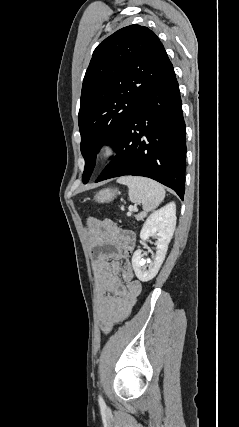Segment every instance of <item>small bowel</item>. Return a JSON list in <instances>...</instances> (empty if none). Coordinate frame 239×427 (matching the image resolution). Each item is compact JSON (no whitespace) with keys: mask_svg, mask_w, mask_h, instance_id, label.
Instances as JSON below:
<instances>
[{"mask_svg":"<svg viewBox=\"0 0 239 427\" xmlns=\"http://www.w3.org/2000/svg\"><path fill=\"white\" fill-rule=\"evenodd\" d=\"M88 223L93 227L91 250L95 258L99 321L102 331L108 333L114 324L128 317L142 290L130 262L136 238L132 231L119 228L109 219H90Z\"/></svg>","mask_w":239,"mask_h":427,"instance_id":"small-bowel-1","label":"small bowel"}]
</instances>
